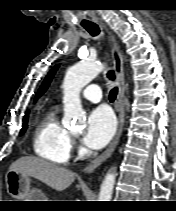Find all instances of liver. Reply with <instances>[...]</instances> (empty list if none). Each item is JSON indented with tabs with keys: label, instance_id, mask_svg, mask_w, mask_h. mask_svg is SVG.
<instances>
[{
	"label": "liver",
	"instance_id": "6515ba94",
	"mask_svg": "<svg viewBox=\"0 0 176 211\" xmlns=\"http://www.w3.org/2000/svg\"><path fill=\"white\" fill-rule=\"evenodd\" d=\"M9 170L34 177L57 191L65 190L75 179L71 170L32 156L17 159Z\"/></svg>",
	"mask_w": 176,
	"mask_h": 211
}]
</instances>
